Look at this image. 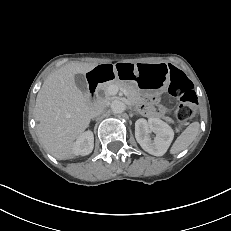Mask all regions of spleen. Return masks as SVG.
I'll return each instance as SVG.
<instances>
[{
	"label": "spleen",
	"mask_w": 231,
	"mask_h": 231,
	"mask_svg": "<svg viewBox=\"0 0 231 231\" xmlns=\"http://www.w3.org/2000/svg\"><path fill=\"white\" fill-rule=\"evenodd\" d=\"M200 124L198 122L191 123L186 130L175 140L170 153L178 154L186 149L198 136Z\"/></svg>",
	"instance_id": "obj_1"
}]
</instances>
